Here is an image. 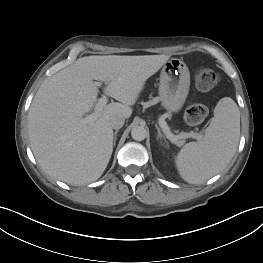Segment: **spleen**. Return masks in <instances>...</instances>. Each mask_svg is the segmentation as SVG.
<instances>
[{
  "label": "spleen",
  "mask_w": 263,
  "mask_h": 263,
  "mask_svg": "<svg viewBox=\"0 0 263 263\" xmlns=\"http://www.w3.org/2000/svg\"><path fill=\"white\" fill-rule=\"evenodd\" d=\"M240 136V112L233 99L222 98L204 138L183 146L176 158L181 177L200 184L224 169L235 154Z\"/></svg>",
  "instance_id": "1"
}]
</instances>
